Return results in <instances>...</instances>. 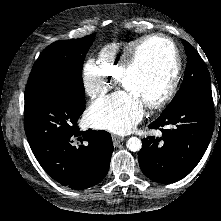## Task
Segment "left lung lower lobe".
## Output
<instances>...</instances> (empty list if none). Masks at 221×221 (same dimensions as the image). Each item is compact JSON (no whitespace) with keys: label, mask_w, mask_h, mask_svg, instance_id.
<instances>
[{"label":"left lung lower lobe","mask_w":221,"mask_h":221,"mask_svg":"<svg viewBox=\"0 0 221 221\" xmlns=\"http://www.w3.org/2000/svg\"><path fill=\"white\" fill-rule=\"evenodd\" d=\"M213 100L197 97L169 112H162L149 125L160 137L142 141L139 165L142 172L158 183H172L187 176L199 163L214 129Z\"/></svg>","instance_id":"1"}]
</instances>
